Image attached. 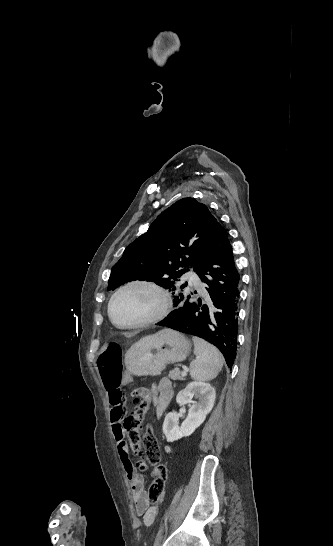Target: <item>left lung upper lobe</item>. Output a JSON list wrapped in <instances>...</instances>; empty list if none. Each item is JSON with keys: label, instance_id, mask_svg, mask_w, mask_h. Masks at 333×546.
<instances>
[{"label": "left lung upper lobe", "instance_id": "left-lung-upper-lobe-1", "mask_svg": "<svg viewBox=\"0 0 333 546\" xmlns=\"http://www.w3.org/2000/svg\"><path fill=\"white\" fill-rule=\"evenodd\" d=\"M218 222L206 205L184 198L163 211L148 231L126 247L112 267L108 289L114 290L133 280L154 281L183 292L176 283L187 268L196 266L208 251ZM187 286V282L180 288Z\"/></svg>", "mask_w": 333, "mask_h": 546}]
</instances>
